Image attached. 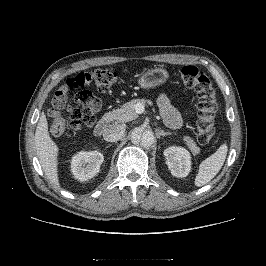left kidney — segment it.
<instances>
[{"label": "left kidney", "instance_id": "obj_1", "mask_svg": "<svg viewBox=\"0 0 266 266\" xmlns=\"http://www.w3.org/2000/svg\"><path fill=\"white\" fill-rule=\"evenodd\" d=\"M166 165L175 177H186L191 170L190 153L182 147L171 146L164 151Z\"/></svg>", "mask_w": 266, "mask_h": 266}]
</instances>
